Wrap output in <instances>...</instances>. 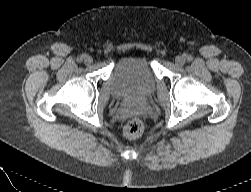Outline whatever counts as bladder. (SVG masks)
I'll list each match as a JSON object with an SVG mask.
<instances>
[{
	"label": "bladder",
	"instance_id": "bladder-1",
	"mask_svg": "<svg viewBox=\"0 0 251 192\" xmlns=\"http://www.w3.org/2000/svg\"><path fill=\"white\" fill-rule=\"evenodd\" d=\"M157 77L152 59L146 55L121 58L115 65L110 86L118 98H144L154 93Z\"/></svg>",
	"mask_w": 251,
	"mask_h": 192
}]
</instances>
